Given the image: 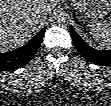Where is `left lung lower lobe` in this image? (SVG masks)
I'll list each match as a JSON object with an SVG mask.
<instances>
[{"label":"left lung lower lobe","instance_id":"1","mask_svg":"<svg viewBox=\"0 0 111 106\" xmlns=\"http://www.w3.org/2000/svg\"><path fill=\"white\" fill-rule=\"evenodd\" d=\"M72 40L79 53L89 62L99 66H111V50H97L90 47L70 26Z\"/></svg>","mask_w":111,"mask_h":106}]
</instances>
